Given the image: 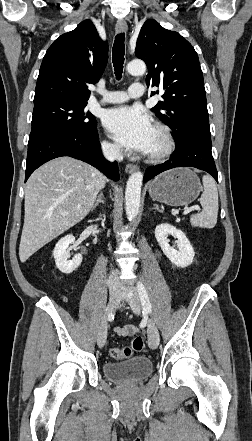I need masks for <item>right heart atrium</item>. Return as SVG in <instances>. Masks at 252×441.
<instances>
[{
  "label": "right heart atrium",
  "instance_id": "right-heart-atrium-1",
  "mask_svg": "<svg viewBox=\"0 0 252 441\" xmlns=\"http://www.w3.org/2000/svg\"><path fill=\"white\" fill-rule=\"evenodd\" d=\"M102 148L107 155L112 157H118L121 154V149L117 144L106 140L102 142Z\"/></svg>",
  "mask_w": 252,
  "mask_h": 441
}]
</instances>
